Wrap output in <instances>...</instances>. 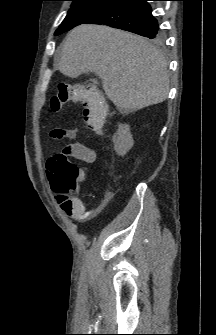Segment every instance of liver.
Masks as SVG:
<instances>
[{
  "instance_id": "1",
  "label": "liver",
  "mask_w": 216,
  "mask_h": 335,
  "mask_svg": "<svg viewBox=\"0 0 216 335\" xmlns=\"http://www.w3.org/2000/svg\"><path fill=\"white\" fill-rule=\"evenodd\" d=\"M58 69L67 76L95 72L120 111L163 102L169 92L167 62L146 39L105 25L82 24L63 44Z\"/></svg>"
}]
</instances>
